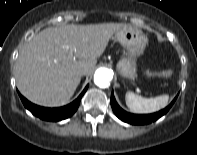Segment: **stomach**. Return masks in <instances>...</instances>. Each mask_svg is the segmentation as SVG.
I'll return each mask as SVG.
<instances>
[{"mask_svg": "<svg viewBox=\"0 0 197 155\" xmlns=\"http://www.w3.org/2000/svg\"><path fill=\"white\" fill-rule=\"evenodd\" d=\"M115 37L127 51L117 63V70L122 78L134 80L137 76L136 60L143 54L147 38L141 30L131 26L119 29Z\"/></svg>", "mask_w": 197, "mask_h": 155, "instance_id": "0dacf381", "label": "stomach"}]
</instances>
